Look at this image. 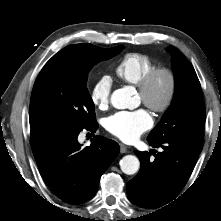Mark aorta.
I'll use <instances>...</instances> for the list:
<instances>
[{"instance_id":"aorta-1","label":"aorta","mask_w":221,"mask_h":221,"mask_svg":"<svg viewBox=\"0 0 221 221\" xmlns=\"http://www.w3.org/2000/svg\"><path fill=\"white\" fill-rule=\"evenodd\" d=\"M134 90L124 87L115 90L111 95V104L117 109H126L132 105ZM140 167L139 159L134 155H126L120 160V168L127 175L135 174Z\"/></svg>"}]
</instances>
